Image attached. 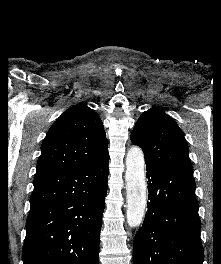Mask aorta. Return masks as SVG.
<instances>
[{
    "label": "aorta",
    "mask_w": 221,
    "mask_h": 264,
    "mask_svg": "<svg viewBox=\"0 0 221 264\" xmlns=\"http://www.w3.org/2000/svg\"><path fill=\"white\" fill-rule=\"evenodd\" d=\"M127 223L139 227L147 206L144 154L139 147H131L126 155Z\"/></svg>",
    "instance_id": "1"
}]
</instances>
